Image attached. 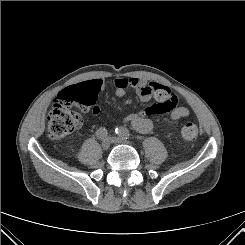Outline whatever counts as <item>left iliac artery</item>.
I'll return each mask as SVG.
<instances>
[{
	"label": "left iliac artery",
	"mask_w": 245,
	"mask_h": 245,
	"mask_svg": "<svg viewBox=\"0 0 245 245\" xmlns=\"http://www.w3.org/2000/svg\"><path fill=\"white\" fill-rule=\"evenodd\" d=\"M115 133L121 138L128 139L130 138V132L128 129L124 127H118L115 129Z\"/></svg>",
	"instance_id": "left-iliac-artery-1"
}]
</instances>
